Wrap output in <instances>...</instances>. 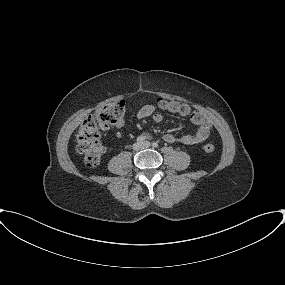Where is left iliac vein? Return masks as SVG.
Segmentation results:
<instances>
[{"mask_svg":"<svg viewBox=\"0 0 285 285\" xmlns=\"http://www.w3.org/2000/svg\"><path fill=\"white\" fill-rule=\"evenodd\" d=\"M142 146H143L144 148H149V147L151 146V143H150L149 141H145V142L142 144Z\"/></svg>","mask_w":285,"mask_h":285,"instance_id":"obj_1","label":"left iliac vein"}]
</instances>
